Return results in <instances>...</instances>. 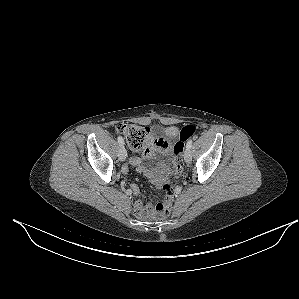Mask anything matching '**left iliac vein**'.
<instances>
[{
  "label": "left iliac vein",
  "mask_w": 299,
  "mask_h": 299,
  "mask_svg": "<svg viewBox=\"0 0 299 299\" xmlns=\"http://www.w3.org/2000/svg\"><path fill=\"white\" fill-rule=\"evenodd\" d=\"M184 160H185V162H187V163H190V162H191V160H192V156H191L190 149H187V148H186V150H185V152H184Z\"/></svg>",
  "instance_id": "4c4485c4"
}]
</instances>
